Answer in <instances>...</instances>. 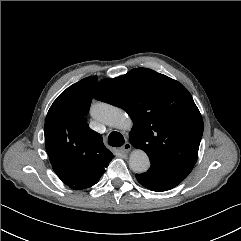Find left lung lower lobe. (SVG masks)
<instances>
[{
	"mask_svg": "<svg viewBox=\"0 0 241 241\" xmlns=\"http://www.w3.org/2000/svg\"><path fill=\"white\" fill-rule=\"evenodd\" d=\"M187 176L151 165L150 169L143 174H136L138 182L152 191H167L180 184Z\"/></svg>",
	"mask_w": 241,
	"mask_h": 241,
	"instance_id": "1",
	"label": "left lung lower lobe"
}]
</instances>
